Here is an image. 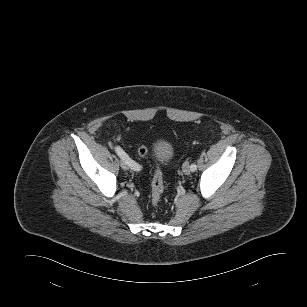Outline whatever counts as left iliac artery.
Listing matches in <instances>:
<instances>
[{
	"label": "left iliac artery",
	"mask_w": 307,
	"mask_h": 307,
	"mask_svg": "<svg viewBox=\"0 0 307 307\" xmlns=\"http://www.w3.org/2000/svg\"><path fill=\"white\" fill-rule=\"evenodd\" d=\"M190 168H191V171H196L197 165L193 163V164H191Z\"/></svg>",
	"instance_id": "44dca946"
}]
</instances>
